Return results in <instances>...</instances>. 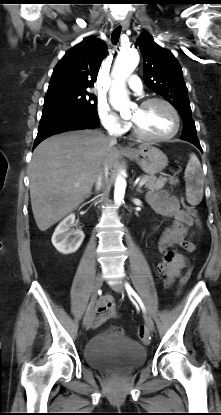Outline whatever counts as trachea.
<instances>
[{"label": "trachea", "mask_w": 221, "mask_h": 415, "mask_svg": "<svg viewBox=\"0 0 221 415\" xmlns=\"http://www.w3.org/2000/svg\"><path fill=\"white\" fill-rule=\"evenodd\" d=\"M120 34H121V27L118 26L116 29H114V31L111 34V40L114 44L119 41Z\"/></svg>", "instance_id": "3493384b"}]
</instances>
